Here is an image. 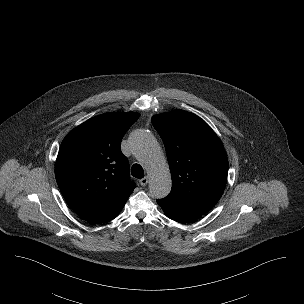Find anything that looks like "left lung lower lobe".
<instances>
[{
	"mask_svg": "<svg viewBox=\"0 0 304 304\" xmlns=\"http://www.w3.org/2000/svg\"><path fill=\"white\" fill-rule=\"evenodd\" d=\"M157 203L163 209L165 215L175 221L178 222H191L202 216V214H198L196 212L185 209L184 207L173 203L165 198L161 200H157Z\"/></svg>",
	"mask_w": 304,
	"mask_h": 304,
	"instance_id": "left-lung-lower-lobe-1",
	"label": "left lung lower lobe"
}]
</instances>
